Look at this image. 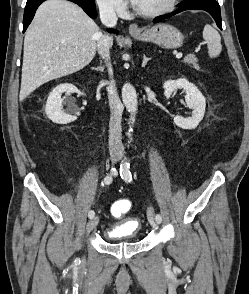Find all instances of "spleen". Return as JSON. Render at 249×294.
<instances>
[{"mask_svg": "<svg viewBox=\"0 0 249 294\" xmlns=\"http://www.w3.org/2000/svg\"><path fill=\"white\" fill-rule=\"evenodd\" d=\"M203 38L207 43L208 54L211 58L220 55L222 51L221 37L216 29L211 25H205L203 30Z\"/></svg>", "mask_w": 249, "mask_h": 294, "instance_id": "3e777b00", "label": "spleen"}]
</instances>
